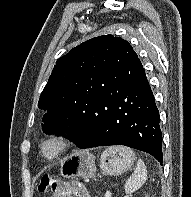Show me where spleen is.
<instances>
[{"label": "spleen", "mask_w": 191, "mask_h": 197, "mask_svg": "<svg viewBox=\"0 0 191 197\" xmlns=\"http://www.w3.org/2000/svg\"><path fill=\"white\" fill-rule=\"evenodd\" d=\"M109 150L112 151L113 153H116L119 156H121L122 160L124 162H128V163L132 164L136 160L133 150H131L128 147L115 146V147L109 148ZM146 179H147L146 166H145L144 162L141 159H139L137 161V166L134 169V172L127 179V181L125 183V186H124L125 192L127 194L133 193L134 191L139 189L145 183Z\"/></svg>", "instance_id": "3e777b00"}]
</instances>
